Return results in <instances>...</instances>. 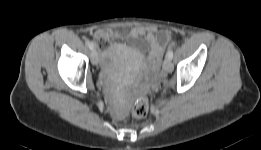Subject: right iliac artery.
<instances>
[{
  "instance_id": "obj_1",
  "label": "right iliac artery",
  "mask_w": 261,
  "mask_h": 150,
  "mask_svg": "<svg viewBox=\"0 0 261 150\" xmlns=\"http://www.w3.org/2000/svg\"><path fill=\"white\" fill-rule=\"evenodd\" d=\"M88 47L93 50L94 49V44L92 42H88Z\"/></svg>"
}]
</instances>
